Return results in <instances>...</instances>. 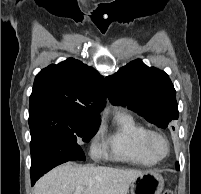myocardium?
I'll return each mask as SVG.
<instances>
[{"label": "myocardium", "mask_w": 201, "mask_h": 194, "mask_svg": "<svg viewBox=\"0 0 201 194\" xmlns=\"http://www.w3.org/2000/svg\"><path fill=\"white\" fill-rule=\"evenodd\" d=\"M155 138H160L166 146V152L163 155H156L153 153V151L151 149V143H152L153 139H155ZM144 148H145V151L147 152V154L155 161H159V160L166 158L169 155L170 150H171L170 142H169V139L167 138V136L160 131L151 130V129L147 130V132L145 134Z\"/></svg>", "instance_id": "1"}]
</instances>
